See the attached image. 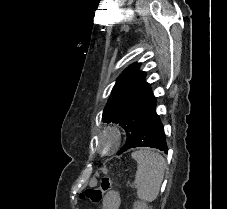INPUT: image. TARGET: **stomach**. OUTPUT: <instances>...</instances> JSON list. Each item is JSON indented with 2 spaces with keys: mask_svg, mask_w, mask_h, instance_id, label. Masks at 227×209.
<instances>
[{
  "mask_svg": "<svg viewBox=\"0 0 227 209\" xmlns=\"http://www.w3.org/2000/svg\"><path fill=\"white\" fill-rule=\"evenodd\" d=\"M120 206V196L117 191L108 192L103 199V209H118Z\"/></svg>",
  "mask_w": 227,
  "mask_h": 209,
  "instance_id": "0dacf381",
  "label": "stomach"
}]
</instances>
